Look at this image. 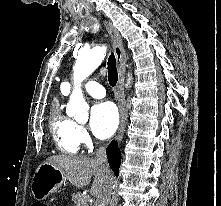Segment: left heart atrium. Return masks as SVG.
<instances>
[{
	"label": "left heart atrium",
	"instance_id": "obj_1",
	"mask_svg": "<svg viewBox=\"0 0 221 206\" xmlns=\"http://www.w3.org/2000/svg\"><path fill=\"white\" fill-rule=\"evenodd\" d=\"M119 124L118 111L111 102H102L94 105L90 113V128L99 138L110 137Z\"/></svg>",
	"mask_w": 221,
	"mask_h": 206
}]
</instances>
